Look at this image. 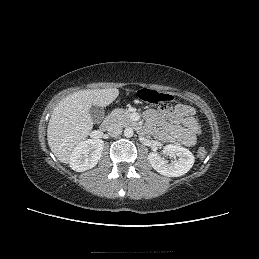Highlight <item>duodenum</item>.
I'll return each mask as SVG.
<instances>
[{
	"mask_svg": "<svg viewBox=\"0 0 259 259\" xmlns=\"http://www.w3.org/2000/svg\"><path fill=\"white\" fill-rule=\"evenodd\" d=\"M112 124L113 120L110 116L105 118V120L100 125L101 131H107L112 126Z\"/></svg>",
	"mask_w": 259,
	"mask_h": 259,
	"instance_id": "410a0bca",
	"label": "duodenum"
}]
</instances>
